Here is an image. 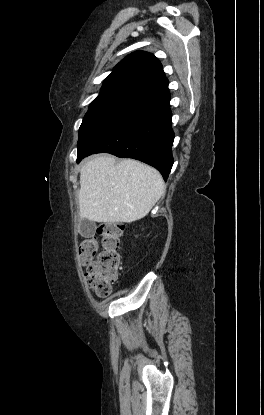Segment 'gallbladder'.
Instances as JSON below:
<instances>
[{"instance_id":"obj_1","label":"gallbladder","mask_w":264,"mask_h":415,"mask_svg":"<svg viewBox=\"0 0 264 415\" xmlns=\"http://www.w3.org/2000/svg\"><path fill=\"white\" fill-rule=\"evenodd\" d=\"M93 222L87 219L81 221V235L84 237H90L93 234Z\"/></svg>"}]
</instances>
